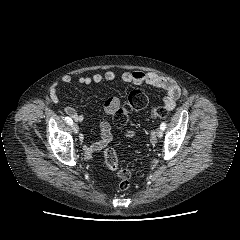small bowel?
Segmentation results:
<instances>
[{
    "mask_svg": "<svg viewBox=\"0 0 240 240\" xmlns=\"http://www.w3.org/2000/svg\"><path fill=\"white\" fill-rule=\"evenodd\" d=\"M116 80L126 84L148 85L164 91L166 95L163 99V103L167 110H173L175 108L176 102L181 95V89L174 80L157 73L138 70L132 72H123L121 74H117L116 72L109 70L103 74L95 73L92 76H81L79 77L78 82L82 85H90L93 83L99 84L103 81L113 82ZM71 81L72 78L69 75H65L52 85L50 89V97L54 103L59 102L57 87L60 84H69ZM120 106V99L116 96H111L105 100L103 109L107 115H114ZM64 112L69 116V118L71 117L79 123L83 122L87 115V112L78 113L73 107L70 106H65ZM100 129L101 137L96 142L90 144L84 143V136H80V140L83 143V150L88 156L101 151L112 139V129L108 121H103L100 125ZM134 135L135 133L132 130L127 132L128 137H133Z\"/></svg>",
    "mask_w": 240,
    "mask_h": 240,
    "instance_id": "small-bowel-1",
    "label": "small bowel"
}]
</instances>
